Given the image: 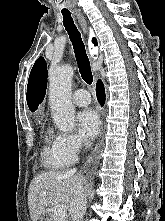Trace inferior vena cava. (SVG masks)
<instances>
[{
	"label": "inferior vena cava",
	"instance_id": "inferior-vena-cava-1",
	"mask_svg": "<svg viewBox=\"0 0 165 221\" xmlns=\"http://www.w3.org/2000/svg\"><path fill=\"white\" fill-rule=\"evenodd\" d=\"M76 169H72L67 174H75ZM87 196L83 188L81 180H78L74 197L71 204V217L72 221H82L84 214L86 213Z\"/></svg>",
	"mask_w": 165,
	"mask_h": 221
}]
</instances>
